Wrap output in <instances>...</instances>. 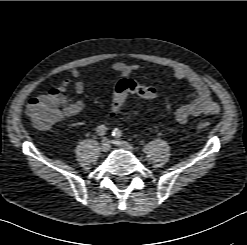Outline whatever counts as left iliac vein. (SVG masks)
I'll use <instances>...</instances> for the list:
<instances>
[{"label": "left iliac vein", "instance_id": "4c4485c4", "mask_svg": "<svg viewBox=\"0 0 247 245\" xmlns=\"http://www.w3.org/2000/svg\"><path fill=\"white\" fill-rule=\"evenodd\" d=\"M113 143L118 146L119 148L125 149V150H129L132 151L134 148L132 145H130L129 143L119 140V139H114Z\"/></svg>", "mask_w": 247, "mask_h": 245}]
</instances>
